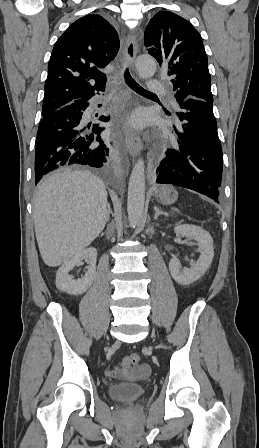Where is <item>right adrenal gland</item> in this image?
<instances>
[{
  "label": "right adrenal gland",
  "instance_id": "right-adrenal-gland-1",
  "mask_svg": "<svg viewBox=\"0 0 259 448\" xmlns=\"http://www.w3.org/2000/svg\"><path fill=\"white\" fill-rule=\"evenodd\" d=\"M108 206V216H107V222H109L110 214H112V210L110 208V204H107Z\"/></svg>",
  "mask_w": 259,
  "mask_h": 448
}]
</instances>
